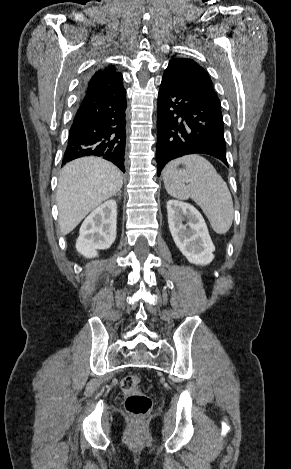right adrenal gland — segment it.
<instances>
[{
    "label": "right adrenal gland",
    "mask_w": 291,
    "mask_h": 469,
    "mask_svg": "<svg viewBox=\"0 0 291 469\" xmlns=\"http://www.w3.org/2000/svg\"><path fill=\"white\" fill-rule=\"evenodd\" d=\"M117 195H118L119 197H121V191H119V192L117 193Z\"/></svg>",
    "instance_id": "1"
}]
</instances>
